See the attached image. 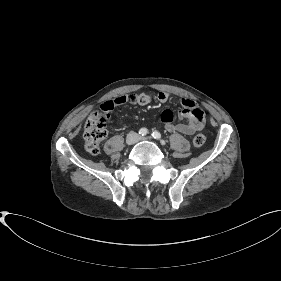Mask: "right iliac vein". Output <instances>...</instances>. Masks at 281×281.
<instances>
[{
  "label": "right iliac vein",
  "instance_id": "right-iliac-vein-1",
  "mask_svg": "<svg viewBox=\"0 0 281 281\" xmlns=\"http://www.w3.org/2000/svg\"><path fill=\"white\" fill-rule=\"evenodd\" d=\"M136 140H137L136 136L132 134V135L127 137L126 144L127 145H133L136 142Z\"/></svg>",
  "mask_w": 281,
  "mask_h": 281
}]
</instances>
